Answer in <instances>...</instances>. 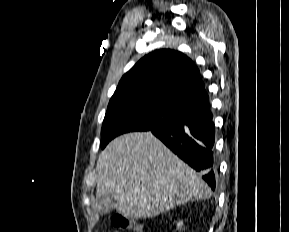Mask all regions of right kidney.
<instances>
[{
    "label": "right kidney",
    "mask_w": 289,
    "mask_h": 232,
    "mask_svg": "<svg viewBox=\"0 0 289 232\" xmlns=\"http://www.w3.org/2000/svg\"><path fill=\"white\" fill-rule=\"evenodd\" d=\"M182 224H183L182 222H179V223L177 224V227L180 228V227L182 226Z\"/></svg>",
    "instance_id": "right-kidney-1"
}]
</instances>
